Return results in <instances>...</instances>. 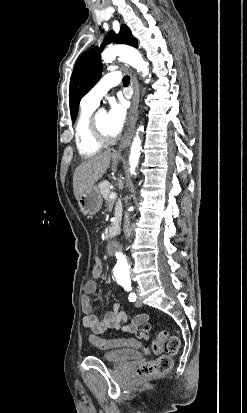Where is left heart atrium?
Listing matches in <instances>:
<instances>
[{
	"label": "left heart atrium",
	"mask_w": 247,
	"mask_h": 413,
	"mask_svg": "<svg viewBox=\"0 0 247 413\" xmlns=\"http://www.w3.org/2000/svg\"><path fill=\"white\" fill-rule=\"evenodd\" d=\"M126 119V110L122 101L111 99L106 114L105 125L113 137L122 131Z\"/></svg>",
	"instance_id": "39dd6f15"
}]
</instances>
